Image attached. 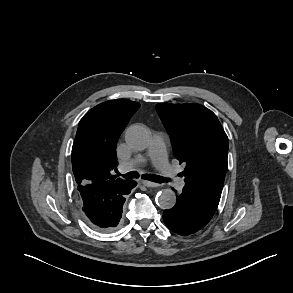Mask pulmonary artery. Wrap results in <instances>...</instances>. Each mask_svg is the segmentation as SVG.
<instances>
[{
  "instance_id": "e3ab8cb5",
  "label": "pulmonary artery",
  "mask_w": 293,
  "mask_h": 293,
  "mask_svg": "<svg viewBox=\"0 0 293 293\" xmlns=\"http://www.w3.org/2000/svg\"><path fill=\"white\" fill-rule=\"evenodd\" d=\"M147 155L149 158H151L162 176L172 180L179 190L183 188L184 182L176 176L174 169L167 161L165 138L162 134L154 135L148 147ZM143 161L144 159L141 157L135 158L131 162L121 164L119 170L122 173L130 171Z\"/></svg>"
}]
</instances>
